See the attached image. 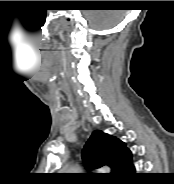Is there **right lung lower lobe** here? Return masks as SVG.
<instances>
[{"mask_svg":"<svg viewBox=\"0 0 174 184\" xmlns=\"http://www.w3.org/2000/svg\"><path fill=\"white\" fill-rule=\"evenodd\" d=\"M135 174L134 166L132 165V160H130L118 173V176H130Z\"/></svg>","mask_w":174,"mask_h":184,"instance_id":"1","label":"right lung lower lobe"}]
</instances>
